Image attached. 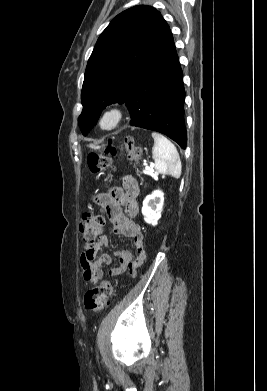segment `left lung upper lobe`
Masks as SVG:
<instances>
[{"mask_svg":"<svg viewBox=\"0 0 267 391\" xmlns=\"http://www.w3.org/2000/svg\"><path fill=\"white\" fill-rule=\"evenodd\" d=\"M173 42L166 21L155 8L139 5L117 15L97 40L81 92L78 124L84 135L102 110L124 103L138 81Z\"/></svg>","mask_w":267,"mask_h":391,"instance_id":"left-lung-upper-lobe-1","label":"left lung upper lobe"}]
</instances>
